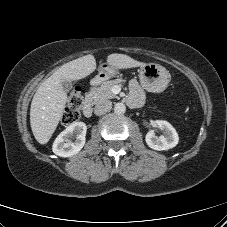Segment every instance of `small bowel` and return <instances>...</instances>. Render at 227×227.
<instances>
[{
  "mask_svg": "<svg viewBox=\"0 0 227 227\" xmlns=\"http://www.w3.org/2000/svg\"><path fill=\"white\" fill-rule=\"evenodd\" d=\"M128 101L133 106H139L143 102V92L136 81H132L130 84V96Z\"/></svg>",
  "mask_w": 227,
  "mask_h": 227,
  "instance_id": "small-bowel-1",
  "label": "small bowel"
}]
</instances>
